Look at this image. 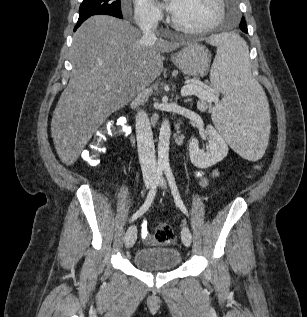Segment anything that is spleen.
<instances>
[{
    "mask_svg": "<svg viewBox=\"0 0 307 317\" xmlns=\"http://www.w3.org/2000/svg\"><path fill=\"white\" fill-rule=\"evenodd\" d=\"M204 43L217 47L210 71L215 90L224 95L212 120L241 160H262L271 138L267 92L253 79L248 47L235 33H208Z\"/></svg>",
    "mask_w": 307,
    "mask_h": 317,
    "instance_id": "3e777b00",
    "label": "spleen"
}]
</instances>
